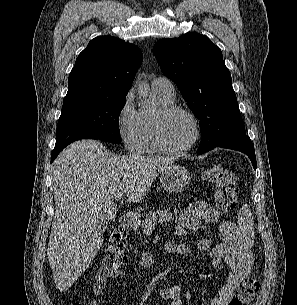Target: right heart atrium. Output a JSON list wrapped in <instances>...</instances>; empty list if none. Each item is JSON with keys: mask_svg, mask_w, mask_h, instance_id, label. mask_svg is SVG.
<instances>
[{"mask_svg": "<svg viewBox=\"0 0 297 305\" xmlns=\"http://www.w3.org/2000/svg\"><path fill=\"white\" fill-rule=\"evenodd\" d=\"M116 123L119 137L125 149L135 150L140 130V113L136 110L132 91L124 96L116 115Z\"/></svg>", "mask_w": 297, "mask_h": 305, "instance_id": "1", "label": "right heart atrium"}]
</instances>
